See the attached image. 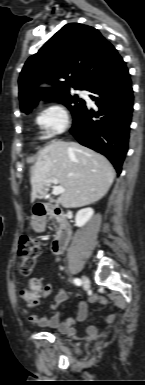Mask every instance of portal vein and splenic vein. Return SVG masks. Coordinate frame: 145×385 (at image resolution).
<instances>
[{"instance_id":"1","label":"portal vein and splenic vein","mask_w":145,"mask_h":385,"mask_svg":"<svg viewBox=\"0 0 145 385\" xmlns=\"http://www.w3.org/2000/svg\"><path fill=\"white\" fill-rule=\"evenodd\" d=\"M51 182H52L53 184L57 185V184H58V179L55 178V177H51ZM63 192H64V189H63L62 186H55V187L53 188V194H54V195H59V194H61V193H63Z\"/></svg>"}]
</instances>
